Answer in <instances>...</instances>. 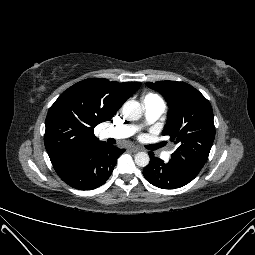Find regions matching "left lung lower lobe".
Here are the masks:
<instances>
[{
  "instance_id": "0a47b994",
  "label": "left lung lower lobe",
  "mask_w": 255,
  "mask_h": 255,
  "mask_svg": "<svg viewBox=\"0 0 255 255\" xmlns=\"http://www.w3.org/2000/svg\"><path fill=\"white\" fill-rule=\"evenodd\" d=\"M150 162L144 168L143 175L152 185L161 189H175L182 187L192 181L200 172L201 168L190 163L163 160L154 157L149 152Z\"/></svg>"
}]
</instances>
